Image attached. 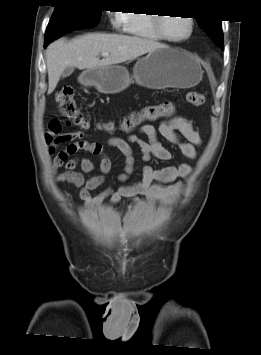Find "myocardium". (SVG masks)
I'll return each instance as SVG.
<instances>
[{
  "label": "myocardium",
  "instance_id": "1",
  "mask_svg": "<svg viewBox=\"0 0 261 355\" xmlns=\"http://www.w3.org/2000/svg\"><path fill=\"white\" fill-rule=\"evenodd\" d=\"M185 18L188 19V21H189L190 30H189V34L183 38L174 39V38L167 36L164 32V29H163L164 18H162L161 16L157 15L154 17V26H155L157 33L161 36V38L163 40H165L167 42H171V43H181V42H184V41L190 39L192 37V35L194 33V29H195V20L193 19V17L185 16Z\"/></svg>",
  "mask_w": 261,
  "mask_h": 355
}]
</instances>
